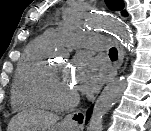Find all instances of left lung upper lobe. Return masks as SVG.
I'll use <instances>...</instances> for the list:
<instances>
[{
  "instance_id": "1",
  "label": "left lung upper lobe",
  "mask_w": 151,
  "mask_h": 131,
  "mask_svg": "<svg viewBox=\"0 0 151 131\" xmlns=\"http://www.w3.org/2000/svg\"><path fill=\"white\" fill-rule=\"evenodd\" d=\"M105 3L113 11H122L124 8L123 0H105ZM121 14L127 16L126 11H122Z\"/></svg>"
}]
</instances>
